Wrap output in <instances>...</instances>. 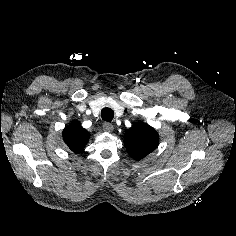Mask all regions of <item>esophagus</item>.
Returning a JSON list of instances; mask_svg holds the SVG:
<instances>
[{
    "instance_id": "obj_1",
    "label": "esophagus",
    "mask_w": 236,
    "mask_h": 236,
    "mask_svg": "<svg viewBox=\"0 0 236 236\" xmlns=\"http://www.w3.org/2000/svg\"><path fill=\"white\" fill-rule=\"evenodd\" d=\"M114 129L113 125L111 123L105 122L103 124V130L106 132H112Z\"/></svg>"
}]
</instances>
